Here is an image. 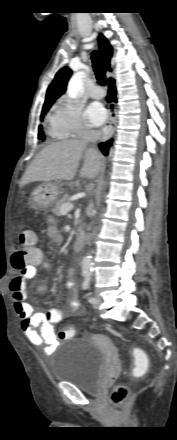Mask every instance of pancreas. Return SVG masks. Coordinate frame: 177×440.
<instances>
[{
  "mask_svg": "<svg viewBox=\"0 0 177 440\" xmlns=\"http://www.w3.org/2000/svg\"><path fill=\"white\" fill-rule=\"evenodd\" d=\"M69 199L70 197L68 195H64L62 198H60L59 200L56 201L55 206L52 209V212L57 215L60 216V208L62 205H64L65 203H69Z\"/></svg>",
  "mask_w": 177,
  "mask_h": 440,
  "instance_id": "pancreas-1",
  "label": "pancreas"
}]
</instances>
